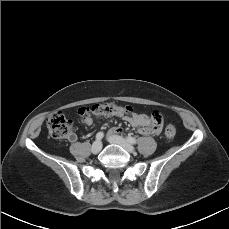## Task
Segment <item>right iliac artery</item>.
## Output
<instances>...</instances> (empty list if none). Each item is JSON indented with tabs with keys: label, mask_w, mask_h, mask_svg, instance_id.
I'll return each mask as SVG.
<instances>
[{
	"label": "right iliac artery",
	"mask_w": 229,
	"mask_h": 229,
	"mask_svg": "<svg viewBox=\"0 0 229 229\" xmlns=\"http://www.w3.org/2000/svg\"><path fill=\"white\" fill-rule=\"evenodd\" d=\"M103 137H104V133H103V132H98V133L96 134V139H97V140H101Z\"/></svg>",
	"instance_id": "right-iliac-artery-1"
}]
</instances>
